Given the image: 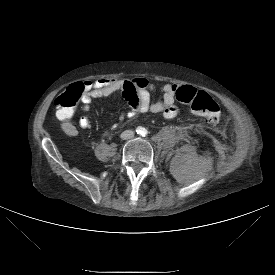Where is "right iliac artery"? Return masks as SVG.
Segmentation results:
<instances>
[{
    "label": "right iliac artery",
    "mask_w": 275,
    "mask_h": 275,
    "mask_svg": "<svg viewBox=\"0 0 275 275\" xmlns=\"http://www.w3.org/2000/svg\"><path fill=\"white\" fill-rule=\"evenodd\" d=\"M136 132H137V133H142V132H143V129H142L141 127H138V128L136 129Z\"/></svg>",
    "instance_id": "right-iliac-artery-1"
}]
</instances>
